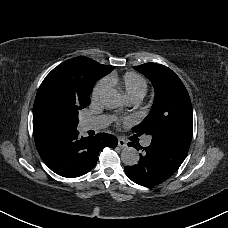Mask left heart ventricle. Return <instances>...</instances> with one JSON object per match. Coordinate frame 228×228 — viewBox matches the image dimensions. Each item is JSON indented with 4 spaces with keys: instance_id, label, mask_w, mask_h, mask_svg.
<instances>
[{
    "instance_id": "1",
    "label": "left heart ventricle",
    "mask_w": 228,
    "mask_h": 228,
    "mask_svg": "<svg viewBox=\"0 0 228 228\" xmlns=\"http://www.w3.org/2000/svg\"><path fill=\"white\" fill-rule=\"evenodd\" d=\"M123 107L116 109V117H121L124 112H126L128 107V101L122 98Z\"/></svg>"
}]
</instances>
